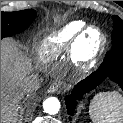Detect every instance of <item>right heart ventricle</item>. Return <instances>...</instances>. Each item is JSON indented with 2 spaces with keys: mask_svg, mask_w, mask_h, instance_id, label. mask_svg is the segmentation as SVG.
Instances as JSON below:
<instances>
[{
  "mask_svg": "<svg viewBox=\"0 0 123 123\" xmlns=\"http://www.w3.org/2000/svg\"><path fill=\"white\" fill-rule=\"evenodd\" d=\"M76 25L77 23L70 24L46 37L39 50L41 58L51 60L67 48L70 57L75 60L76 40L81 34V32L76 33Z\"/></svg>",
  "mask_w": 123,
  "mask_h": 123,
  "instance_id": "e07e8e85",
  "label": "right heart ventricle"
}]
</instances>
